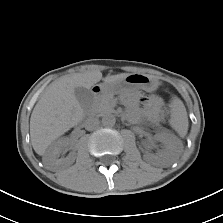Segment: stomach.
I'll return each instance as SVG.
<instances>
[{
    "instance_id": "0dacf381",
    "label": "stomach",
    "mask_w": 223,
    "mask_h": 223,
    "mask_svg": "<svg viewBox=\"0 0 223 223\" xmlns=\"http://www.w3.org/2000/svg\"><path fill=\"white\" fill-rule=\"evenodd\" d=\"M158 87V80L147 74L133 73L114 82L104 81L98 85L103 95L124 94L134 89L153 91Z\"/></svg>"
}]
</instances>
